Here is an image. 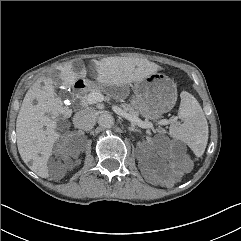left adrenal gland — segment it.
<instances>
[{"label":"left adrenal gland","mask_w":241,"mask_h":241,"mask_svg":"<svg viewBox=\"0 0 241 241\" xmlns=\"http://www.w3.org/2000/svg\"><path fill=\"white\" fill-rule=\"evenodd\" d=\"M130 131H135V132H140L139 129L135 128V126L131 125L129 128H128Z\"/></svg>","instance_id":"1"}]
</instances>
